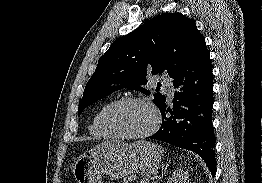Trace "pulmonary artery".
I'll return each instance as SVG.
<instances>
[{
	"mask_svg": "<svg viewBox=\"0 0 262 183\" xmlns=\"http://www.w3.org/2000/svg\"><path fill=\"white\" fill-rule=\"evenodd\" d=\"M165 86L168 92V96L170 99H173V94H174V85L172 82L165 80Z\"/></svg>",
	"mask_w": 262,
	"mask_h": 183,
	"instance_id": "e3ab8cb5",
	"label": "pulmonary artery"
}]
</instances>
